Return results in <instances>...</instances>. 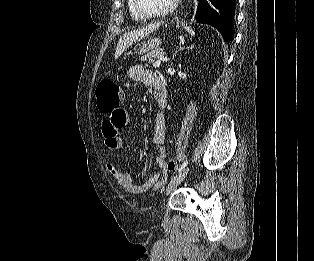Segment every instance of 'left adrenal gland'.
Listing matches in <instances>:
<instances>
[{
    "mask_svg": "<svg viewBox=\"0 0 314 261\" xmlns=\"http://www.w3.org/2000/svg\"><path fill=\"white\" fill-rule=\"evenodd\" d=\"M193 47H194V45L187 46L185 43H182V44H180L179 51H183L184 49L190 50V49H193ZM176 53L174 54L173 59L175 58Z\"/></svg>",
    "mask_w": 314,
    "mask_h": 261,
    "instance_id": "1",
    "label": "left adrenal gland"
}]
</instances>
